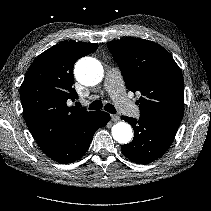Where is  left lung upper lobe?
Returning <instances> with one entry per match:
<instances>
[{
  "instance_id": "left-lung-upper-lobe-1",
  "label": "left lung upper lobe",
  "mask_w": 211,
  "mask_h": 211,
  "mask_svg": "<svg viewBox=\"0 0 211 211\" xmlns=\"http://www.w3.org/2000/svg\"><path fill=\"white\" fill-rule=\"evenodd\" d=\"M107 47L120 67L126 87L139 92L140 116L182 120L184 81L172 55L140 38L110 41Z\"/></svg>"
}]
</instances>
